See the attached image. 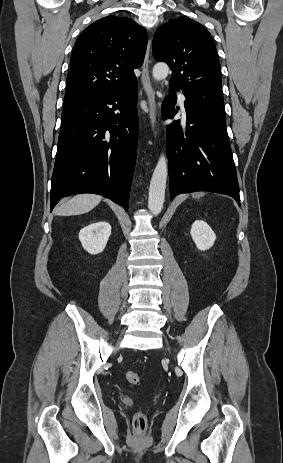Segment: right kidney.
Instances as JSON below:
<instances>
[{"label":"right kidney","instance_id":"obj_1","mask_svg":"<svg viewBox=\"0 0 283 463\" xmlns=\"http://www.w3.org/2000/svg\"><path fill=\"white\" fill-rule=\"evenodd\" d=\"M111 235V225L106 221L92 223L79 232L83 248L90 254L101 253Z\"/></svg>","mask_w":283,"mask_h":463}]
</instances>
